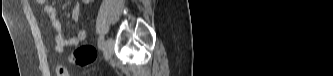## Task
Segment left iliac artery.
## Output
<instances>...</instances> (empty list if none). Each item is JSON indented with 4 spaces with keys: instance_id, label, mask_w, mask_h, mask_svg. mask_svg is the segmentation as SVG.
I'll use <instances>...</instances> for the list:
<instances>
[{
    "instance_id": "1",
    "label": "left iliac artery",
    "mask_w": 333,
    "mask_h": 76,
    "mask_svg": "<svg viewBox=\"0 0 333 76\" xmlns=\"http://www.w3.org/2000/svg\"><path fill=\"white\" fill-rule=\"evenodd\" d=\"M103 46H104V37L100 36L98 39V47H99V49H101V48H103Z\"/></svg>"
}]
</instances>
